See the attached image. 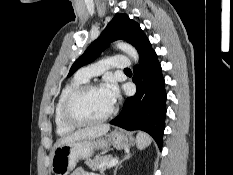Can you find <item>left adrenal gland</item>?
<instances>
[{
  "mask_svg": "<svg viewBox=\"0 0 233 175\" xmlns=\"http://www.w3.org/2000/svg\"><path fill=\"white\" fill-rule=\"evenodd\" d=\"M131 157H132V154H127V155H125V156L123 157L122 160H120V162H119V163L117 164V166L115 167L114 175L117 174V170H118L119 166H121L122 162H124L125 160H128V159L131 158Z\"/></svg>",
  "mask_w": 233,
  "mask_h": 175,
  "instance_id": "1",
  "label": "left adrenal gland"
}]
</instances>
